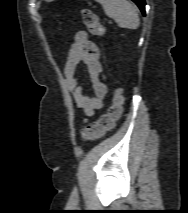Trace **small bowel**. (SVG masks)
<instances>
[{
    "mask_svg": "<svg viewBox=\"0 0 188 213\" xmlns=\"http://www.w3.org/2000/svg\"><path fill=\"white\" fill-rule=\"evenodd\" d=\"M80 63L87 67L91 80L92 95L85 93L76 77L77 68ZM66 86L72 94L75 105L82 108L85 113L83 123H87L97 110L104 104L107 94V86L100 62V49L89 39L87 32L79 31L75 34L74 42L69 48L68 58L64 66Z\"/></svg>",
    "mask_w": 188,
    "mask_h": 213,
    "instance_id": "1",
    "label": "small bowel"
}]
</instances>
